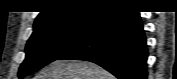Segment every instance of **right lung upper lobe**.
I'll return each mask as SVG.
<instances>
[{
  "mask_svg": "<svg viewBox=\"0 0 177 79\" xmlns=\"http://www.w3.org/2000/svg\"><path fill=\"white\" fill-rule=\"evenodd\" d=\"M50 5L37 16L34 29L42 25L88 16L104 14L107 10L126 6L124 0H56L48 2Z\"/></svg>",
  "mask_w": 177,
  "mask_h": 79,
  "instance_id": "1",
  "label": "right lung upper lobe"
}]
</instances>
